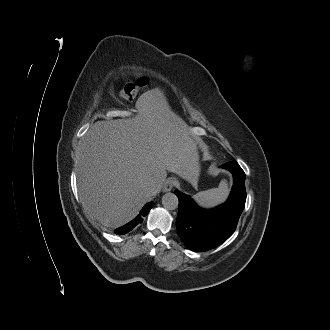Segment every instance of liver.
Listing matches in <instances>:
<instances>
[{
	"mask_svg": "<svg viewBox=\"0 0 330 330\" xmlns=\"http://www.w3.org/2000/svg\"><path fill=\"white\" fill-rule=\"evenodd\" d=\"M135 115L96 122L80 162L79 191L87 214L105 227L132 220L167 171L190 177L197 143L165 99L142 94ZM156 181L149 192L147 182Z\"/></svg>",
	"mask_w": 330,
	"mask_h": 330,
	"instance_id": "1",
	"label": "liver"
}]
</instances>
